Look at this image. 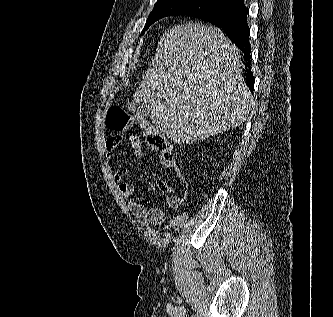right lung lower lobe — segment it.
<instances>
[{"label":"right lung lower lobe","mask_w":333,"mask_h":317,"mask_svg":"<svg viewBox=\"0 0 333 317\" xmlns=\"http://www.w3.org/2000/svg\"><path fill=\"white\" fill-rule=\"evenodd\" d=\"M248 9L244 0L224 5L215 10L207 11L195 17L205 20L222 29L224 33L237 45L245 55L247 73L245 79L251 91L254 90V77L250 69L249 27L247 25Z\"/></svg>","instance_id":"1"}]
</instances>
